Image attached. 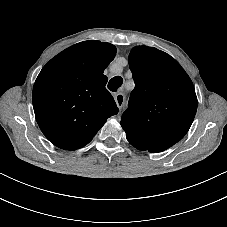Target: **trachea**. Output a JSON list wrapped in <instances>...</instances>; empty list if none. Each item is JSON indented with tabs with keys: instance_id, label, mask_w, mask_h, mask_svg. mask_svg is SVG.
Wrapping results in <instances>:
<instances>
[{
	"instance_id": "3493384b",
	"label": "trachea",
	"mask_w": 227,
	"mask_h": 227,
	"mask_svg": "<svg viewBox=\"0 0 227 227\" xmlns=\"http://www.w3.org/2000/svg\"><path fill=\"white\" fill-rule=\"evenodd\" d=\"M123 79L120 76L113 77L108 83V89L112 92H116L118 88L122 85Z\"/></svg>"
}]
</instances>
